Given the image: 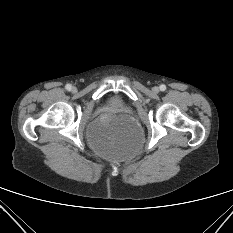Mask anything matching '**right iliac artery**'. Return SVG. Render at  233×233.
Wrapping results in <instances>:
<instances>
[{"instance_id":"1","label":"right iliac artery","mask_w":233,"mask_h":233,"mask_svg":"<svg viewBox=\"0 0 233 233\" xmlns=\"http://www.w3.org/2000/svg\"><path fill=\"white\" fill-rule=\"evenodd\" d=\"M65 88H66L68 91H70L71 88H72V86H71L70 84H67V85L65 86Z\"/></svg>"}]
</instances>
